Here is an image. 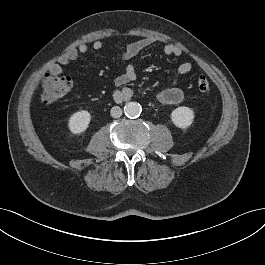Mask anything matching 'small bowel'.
Listing matches in <instances>:
<instances>
[{"label": "small bowel", "mask_w": 265, "mask_h": 265, "mask_svg": "<svg viewBox=\"0 0 265 265\" xmlns=\"http://www.w3.org/2000/svg\"><path fill=\"white\" fill-rule=\"evenodd\" d=\"M156 42L152 37H146L139 39L137 41L127 44L121 54L124 61H129L140 54L143 50L150 47ZM92 48L96 51H100L104 48V43L101 40H95L92 43ZM89 51V46L85 43L79 44L75 48H71L66 51L59 60L50 67V72L55 75H61L64 72V67H66L70 62L76 60L81 54H86ZM163 52L167 56H180L182 54V49L175 44H168L164 47ZM192 64L190 62L181 63L175 73V77L172 81V85L161 90L157 94V99L162 104L166 105H178L184 99L183 90L177 85L178 78L181 75L187 74L191 71ZM137 77L136 68L133 64H128L125 67L124 72L115 78V85L122 87L131 81H134ZM132 90L130 88H123L120 90L116 97L118 99H126L132 95Z\"/></svg>", "instance_id": "small-bowel-1"}]
</instances>
